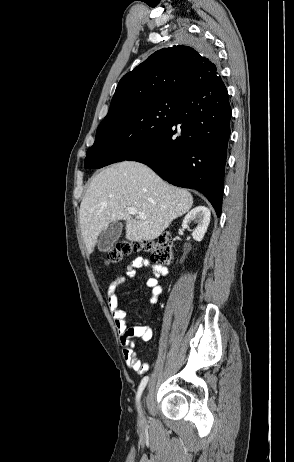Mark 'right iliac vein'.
Here are the masks:
<instances>
[{"mask_svg": "<svg viewBox=\"0 0 294 462\" xmlns=\"http://www.w3.org/2000/svg\"><path fill=\"white\" fill-rule=\"evenodd\" d=\"M140 419L143 420V414H142V413H141V415H140Z\"/></svg>", "mask_w": 294, "mask_h": 462, "instance_id": "right-iliac-vein-1", "label": "right iliac vein"}]
</instances>
